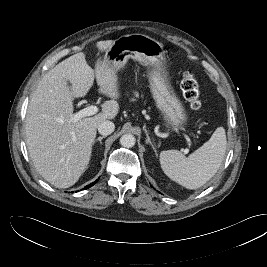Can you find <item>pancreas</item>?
Wrapping results in <instances>:
<instances>
[{
  "label": "pancreas",
  "instance_id": "cf45deb5",
  "mask_svg": "<svg viewBox=\"0 0 267 267\" xmlns=\"http://www.w3.org/2000/svg\"><path fill=\"white\" fill-rule=\"evenodd\" d=\"M134 94H135V96H136V97H138V96H139L138 92H134Z\"/></svg>",
  "mask_w": 267,
  "mask_h": 267
}]
</instances>
